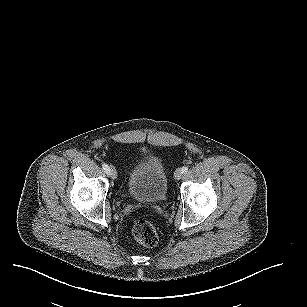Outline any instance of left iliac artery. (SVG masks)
<instances>
[{
  "label": "left iliac artery",
  "mask_w": 307,
  "mask_h": 307,
  "mask_svg": "<svg viewBox=\"0 0 307 307\" xmlns=\"http://www.w3.org/2000/svg\"><path fill=\"white\" fill-rule=\"evenodd\" d=\"M182 171L183 173H186L188 171V167L187 166L182 167Z\"/></svg>",
  "instance_id": "obj_1"
}]
</instances>
